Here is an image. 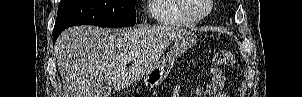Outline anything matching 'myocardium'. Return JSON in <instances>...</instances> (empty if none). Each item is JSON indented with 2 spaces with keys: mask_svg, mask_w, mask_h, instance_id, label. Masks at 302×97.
Listing matches in <instances>:
<instances>
[{
  "mask_svg": "<svg viewBox=\"0 0 302 97\" xmlns=\"http://www.w3.org/2000/svg\"><path fill=\"white\" fill-rule=\"evenodd\" d=\"M206 3H207V11L204 14L197 15L189 9V6H188L186 0H179V5H180L182 12L187 17H189L195 21H199V20L206 18L212 12L213 0H206Z\"/></svg>",
  "mask_w": 302,
  "mask_h": 97,
  "instance_id": "1",
  "label": "myocardium"
}]
</instances>
